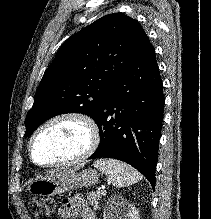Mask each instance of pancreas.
Listing matches in <instances>:
<instances>
[{
    "label": "pancreas",
    "instance_id": "pancreas-1",
    "mask_svg": "<svg viewBox=\"0 0 211 219\" xmlns=\"http://www.w3.org/2000/svg\"><path fill=\"white\" fill-rule=\"evenodd\" d=\"M87 199L88 202L91 206H93V208L95 210L98 209V204H99V200H100V195L95 193V192H91L89 194H87Z\"/></svg>",
    "mask_w": 211,
    "mask_h": 219
}]
</instances>
